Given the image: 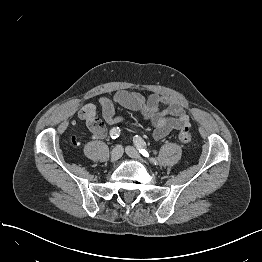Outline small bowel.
Segmentation results:
<instances>
[{
    "mask_svg": "<svg viewBox=\"0 0 262 262\" xmlns=\"http://www.w3.org/2000/svg\"><path fill=\"white\" fill-rule=\"evenodd\" d=\"M104 120L111 125H120L130 120L127 115L117 114L115 107L121 106L129 111L141 114L153 126V137L160 140L173 130L190 125V117L183 102L176 97H162L152 94L148 98L133 91H110L107 96L98 99ZM97 106L84 104L77 115L86 122L93 138L106 136V128L96 117Z\"/></svg>",
    "mask_w": 262,
    "mask_h": 262,
    "instance_id": "obj_1",
    "label": "small bowel"
}]
</instances>
